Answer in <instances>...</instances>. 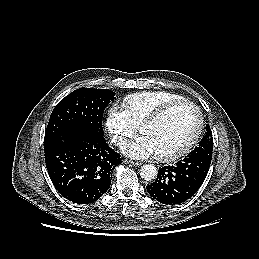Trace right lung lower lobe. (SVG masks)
<instances>
[{
  "instance_id": "98d812e1",
  "label": "right lung lower lobe",
  "mask_w": 259,
  "mask_h": 259,
  "mask_svg": "<svg viewBox=\"0 0 259 259\" xmlns=\"http://www.w3.org/2000/svg\"><path fill=\"white\" fill-rule=\"evenodd\" d=\"M45 163L58 192L77 204L98 200L109 189L121 156L103 136L72 131L44 143Z\"/></svg>"
}]
</instances>
